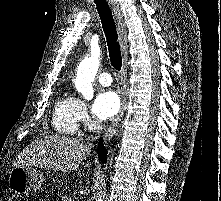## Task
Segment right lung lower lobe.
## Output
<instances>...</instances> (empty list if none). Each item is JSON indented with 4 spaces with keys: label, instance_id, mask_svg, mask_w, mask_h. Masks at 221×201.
Returning <instances> with one entry per match:
<instances>
[{
    "label": "right lung lower lobe",
    "instance_id": "1",
    "mask_svg": "<svg viewBox=\"0 0 221 201\" xmlns=\"http://www.w3.org/2000/svg\"><path fill=\"white\" fill-rule=\"evenodd\" d=\"M106 155H107V150L103 146V140L101 138L98 144V157L102 163L106 162L107 160Z\"/></svg>",
    "mask_w": 221,
    "mask_h": 201
}]
</instances>
